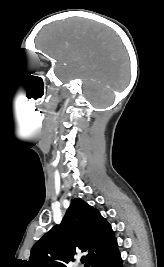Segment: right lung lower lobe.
Segmentation results:
<instances>
[{"label": "right lung lower lobe", "instance_id": "obj_1", "mask_svg": "<svg viewBox=\"0 0 164 267\" xmlns=\"http://www.w3.org/2000/svg\"><path fill=\"white\" fill-rule=\"evenodd\" d=\"M90 267H123L118 247L96 258Z\"/></svg>", "mask_w": 164, "mask_h": 267}]
</instances>
